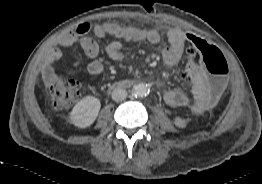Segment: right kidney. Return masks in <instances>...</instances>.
Segmentation results:
<instances>
[{
	"label": "right kidney",
	"instance_id": "right-kidney-1",
	"mask_svg": "<svg viewBox=\"0 0 262 184\" xmlns=\"http://www.w3.org/2000/svg\"><path fill=\"white\" fill-rule=\"evenodd\" d=\"M101 103L94 96L81 99L72 109L70 118L72 123L79 128L90 126L98 116Z\"/></svg>",
	"mask_w": 262,
	"mask_h": 184
}]
</instances>
